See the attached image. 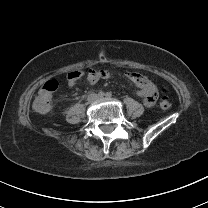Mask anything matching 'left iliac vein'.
<instances>
[{
    "label": "left iliac vein",
    "instance_id": "1",
    "mask_svg": "<svg viewBox=\"0 0 208 208\" xmlns=\"http://www.w3.org/2000/svg\"><path fill=\"white\" fill-rule=\"evenodd\" d=\"M98 99L102 100V99H103V97H98Z\"/></svg>",
    "mask_w": 208,
    "mask_h": 208
}]
</instances>
